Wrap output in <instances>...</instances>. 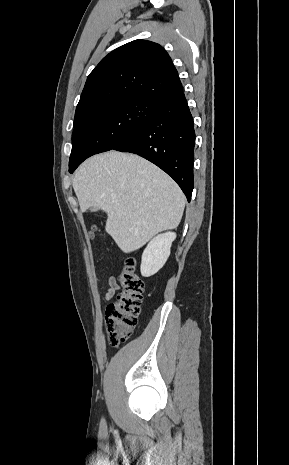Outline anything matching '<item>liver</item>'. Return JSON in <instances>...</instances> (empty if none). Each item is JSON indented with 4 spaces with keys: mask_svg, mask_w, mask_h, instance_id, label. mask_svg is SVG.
I'll return each mask as SVG.
<instances>
[{
    "mask_svg": "<svg viewBox=\"0 0 289 465\" xmlns=\"http://www.w3.org/2000/svg\"><path fill=\"white\" fill-rule=\"evenodd\" d=\"M73 189L82 212L107 213L105 230L124 253L176 228L185 207L183 192L166 173L138 155L118 151L87 159L76 171Z\"/></svg>",
    "mask_w": 289,
    "mask_h": 465,
    "instance_id": "liver-1",
    "label": "liver"
}]
</instances>
